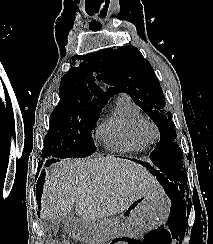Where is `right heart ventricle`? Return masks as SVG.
I'll list each match as a JSON object with an SVG mask.
<instances>
[{"instance_id":"1","label":"right heart ventricle","mask_w":213,"mask_h":244,"mask_svg":"<svg viewBox=\"0 0 213 244\" xmlns=\"http://www.w3.org/2000/svg\"><path fill=\"white\" fill-rule=\"evenodd\" d=\"M144 120L137 105L126 95H121L116 98L111 114L97 127L96 135L110 151L143 152L152 143L139 131Z\"/></svg>"}]
</instances>
